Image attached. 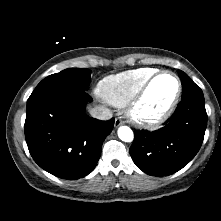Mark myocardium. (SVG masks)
I'll return each mask as SVG.
<instances>
[{"instance_id":"myocardium-1","label":"myocardium","mask_w":221,"mask_h":221,"mask_svg":"<svg viewBox=\"0 0 221 221\" xmlns=\"http://www.w3.org/2000/svg\"><path fill=\"white\" fill-rule=\"evenodd\" d=\"M162 75H170L176 81L177 88L175 95L171 100V102L163 111H161L156 115H151V116L145 115L141 111V106L154 81ZM181 93H182V84L179 77L174 72L168 70L156 71L145 81V83L141 86V88L134 95V97L128 102L127 115L131 120V122L137 126L145 128H155L161 125L162 123H164L174 112L179 102Z\"/></svg>"}]
</instances>
